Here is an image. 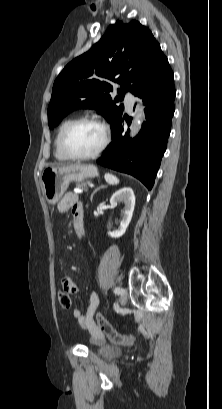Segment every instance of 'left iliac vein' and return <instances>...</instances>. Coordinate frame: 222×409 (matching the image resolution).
Masks as SVG:
<instances>
[{
    "label": "left iliac vein",
    "instance_id": "1",
    "mask_svg": "<svg viewBox=\"0 0 222 409\" xmlns=\"http://www.w3.org/2000/svg\"><path fill=\"white\" fill-rule=\"evenodd\" d=\"M127 302V290L126 289H121V300L120 303L121 305H125Z\"/></svg>",
    "mask_w": 222,
    "mask_h": 409
}]
</instances>
